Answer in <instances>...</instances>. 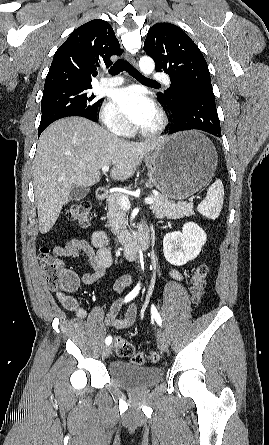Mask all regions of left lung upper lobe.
Instances as JSON below:
<instances>
[{
    "label": "left lung upper lobe",
    "mask_w": 269,
    "mask_h": 445,
    "mask_svg": "<svg viewBox=\"0 0 269 445\" xmlns=\"http://www.w3.org/2000/svg\"><path fill=\"white\" fill-rule=\"evenodd\" d=\"M144 50L153 58L156 71L170 76L171 86L158 93L162 100L173 104L177 95L192 88L212 89L206 60L181 28L170 23H157L148 31Z\"/></svg>",
    "instance_id": "1"
}]
</instances>
